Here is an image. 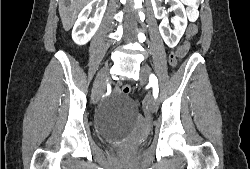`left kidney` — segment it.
<instances>
[{
	"mask_svg": "<svg viewBox=\"0 0 250 169\" xmlns=\"http://www.w3.org/2000/svg\"><path fill=\"white\" fill-rule=\"evenodd\" d=\"M151 2L155 18H162L159 24L160 34L163 40H165L166 44H168L170 48H173V46L178 44L182 34L185 32V28L187 26L186 10L180 0H167V2L172 4V10H175V16H173L171 20L175 28L174 30H171L169 26V18L166 16L164 6H161L162 0H151Z\"/></svg>",
	"mask_w": 250,
	"mask_h": 169,
	"instance_id": "1",
	"label": "left kidney"
}]
</instances>
